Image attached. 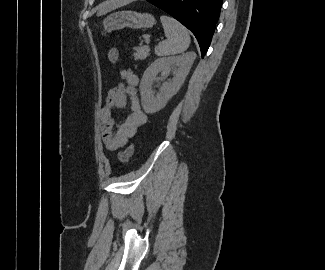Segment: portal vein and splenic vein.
Returning a JSON list of instances; mask_svg holds the SVG:
<instances>
[{"label": "portal vein and splenic vein", "mask_w": 325, "mask_h": 270, "mask_svg": "<svg viewBox=\"0 0 325 270\" xmlns=\"http://www.w3.org/2000/svg\"><path fill=\"white\" fill-rule=\"evenodd\" d=\"M145 42L148 44L150 42V40L149 39H146Z\"/></svg>", "instance_id": "18ae733b"}]
</instances>
